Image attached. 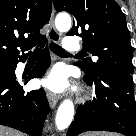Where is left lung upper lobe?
<instances>
[{
  "label": "left lung upper lobe",
  "mask_w": 136,
  "mask_h": 136,
  "mask_svg": "<svg viewBox=\"0 0 136 136\" xmlns=\"http://www.w3.org/2000/svg\"><path fill=\"white\" fill-rule=\"evenodd\" d=\"M55 9L74 16L69 36H82L83 46L98 60L77 62L85 73L133 74L132 46L124 13L115 0H53Z\"/></svg>",
  "instance_id": "5c2ea615"
}]
</instances>
